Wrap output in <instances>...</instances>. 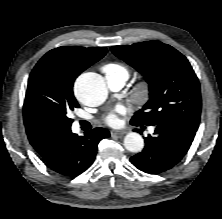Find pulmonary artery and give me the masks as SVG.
Masks as SVG:
<instances>
[{"label":"pulmonary artery","mask_w":222,"mask_h":219,"mask_svg":"<svg viewBox=\"0 0 222 219\" xmlns=\"http://www.w3.org/2000/svg\"><path fill=\"white\" fill-rule=\"evenodd\" d=\"M127 78L123 74H111L106 75V81L107 85L110 90L112 91H118L123 88V86L126 83ZM149 131L152 133L154 131V128L151 127Z\"/></svg>","instance_id":"e3ab8cb5"}]
</instances>
